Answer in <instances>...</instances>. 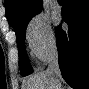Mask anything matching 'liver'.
<instances>
[{
    "label": "liver",
    "instance_id": "1",
    "mask_svg": "<svg viewBox=\"0 0 89 89\" xmlns=\"http://www.w3.org/2000/svg\"><path fill=\"white\" fill-rule=\"evenodd\" d=\"M58 83L57 77L44 71L30 76L23 84L22 89H53V85H58Z\"/></svg>",
    "mask_w": 89,
    "mask_h": 89
}]
</instances>
